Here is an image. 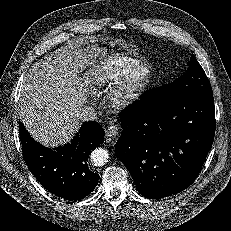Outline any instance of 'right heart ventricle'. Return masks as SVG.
<instances>
[{
    "mask_svg": "<svg viewBox=\"0 0 231 231\" xmlns=\"http://www.w3.org/2000/svg\"><path fill=\"white\" fill-rule=\"evenodd\" d=\"M141 59L129 55H113L95 63L85 74V81L93 91H100L118 83Z\"/></svg>",
    "mask_w": 231,
    "mask_h": 231,
    "instance_id": "obj_1",
    "label": "right heart ventricle"
}]
</instances>
